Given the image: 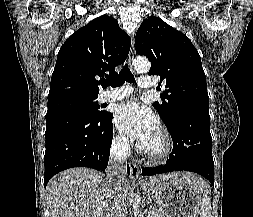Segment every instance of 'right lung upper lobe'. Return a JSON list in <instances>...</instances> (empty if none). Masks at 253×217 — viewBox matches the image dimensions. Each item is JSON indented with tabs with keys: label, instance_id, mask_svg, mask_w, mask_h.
<instances>
[{
	"label": "right lung upper lobe",
	"instance_id": "obj_1",
	"mask_svg": "<svg viewBox=\"0 0 253 217\" xmlns=\"http://www.w3.org/2000/svg\"><path fill=\"white\" fill-rule=\"evenodd\" d=\"M131 40L118 21L102 15L71 35L59 50L48 102L70 97H98V85L115 77V67L129 53Z\"/></svg>",
	"mask_w": 253,
	"mask_h": 217
}]
</instances>
